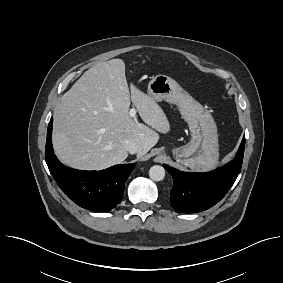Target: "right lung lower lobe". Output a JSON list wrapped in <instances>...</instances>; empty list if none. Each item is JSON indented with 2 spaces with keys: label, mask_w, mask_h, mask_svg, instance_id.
<instances>
[{
  "label": "right lung lower lobe",
  "mask_w": 283,
  "mask_h": 283,
  "mask_svg": "<svg viewBox=\"0 0 283 283\" xmlns=\"http://www.w3.org/2000/svg\"><path fill=\"white\" fill-rule=\"evenodd\" d=\"M52 124L53 118L48 124L45 159L61 190L85 209L98 212L113 209L123 196L125 182L135 163L118 164L102 171L70 169L61 164L54 154L51 142Z\"/></svg>",
  "instance_id": "1"
}]
</instances>
